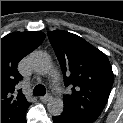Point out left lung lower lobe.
<instances>
[{
    "mask_svg": "<svg viewBox=\"0 0 123 123\" xmlns=\"http://www.w3.org/2000/svg\"><path fill=\"white\" fill-rule=\"evenodd\" d=\"M53 122L54 123H86L84 121H81L65 111H63L59 116H54L53 117Z\"/></svg>",
    "mask_w": 123,
    "mask_h": 123,
    "instance_id": "0a47b994",
    "label": "left lung lower lobe"
}]
</instances>
